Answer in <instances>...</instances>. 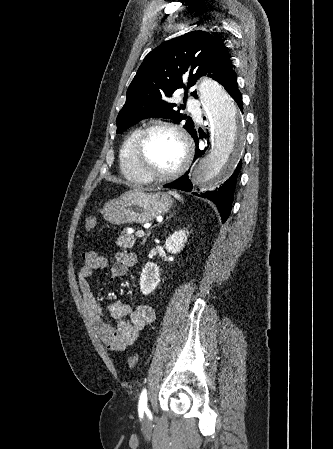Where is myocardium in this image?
<instances>
[{
    "instance_id": "myocardium-1",
    "label": "myocardium",
    "mask_w": 333,
    "mask_h": 449,
    "mask_svg": "<svg viewBox=\"0 0 333 449\" xmlns=\"http://www.w3.org/2000/svg\"><path fill=\"white\" fill-rule=\"evenodd\" d=\"M156 130H164L176 135L179 138L183 147L184 156L181 163L173 171L166 174H159V175L153 174L147 171L143 166L145 144L150 134ZM192 157H193V148L188 136L178 126L165 121H156L143 128L134 146V163L136 170L138 171L140 176L147 182L162 183L172 181L178 178L188 169L189 165L191 164Z\"/></svg>"
}]
</instances>
